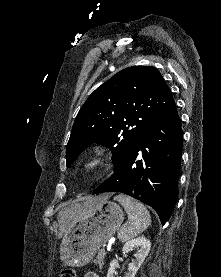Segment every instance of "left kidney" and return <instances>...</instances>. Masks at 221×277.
<instances>
[{
    "mask_svg": "<svg viewBox=\"0 0 221 277\" xmlns=\"http://www.w3.org/2000/svg\"><path fill=\"white\" fill-rule=\"evenodd\" d=\"M151 247V242L144 236H140L134 239H131L127 241L122 251L124 253L130 252L133 248L137 249V253L135 254V260H132V262L128 266V272L126 273L125 277H135L137 271L139 270L140 266L144 262L146 256L148 255ZM118 260L113 259L110 263V267L107 273V277H115L116 276V266H117Z\"/></svg>",
    "mask_w": 221,
    "mask_h": 277,
    "instance_id": "1",
    "label": "left kidney"
}]
</instances>
